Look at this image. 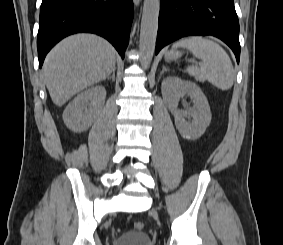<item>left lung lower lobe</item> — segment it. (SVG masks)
<instances>
[{
    "label": "left lung lower lobe",
    "mask_w": 283,
    "mask_h": 245,
    "mask_svg": "<svg viewBox=\"0 0 283 245\" xmlns=\"http://www.w3.org/2000/svg\"><path fill=\"white\" fill-rule=\"evenodd\" d=\"M213 35L240 58L239 21L233 0H161L155 54L184 36Z\"/></svg>",
    "instance_id": "1"
}]
</instances>
